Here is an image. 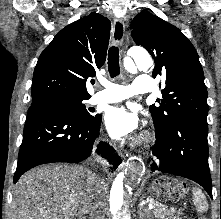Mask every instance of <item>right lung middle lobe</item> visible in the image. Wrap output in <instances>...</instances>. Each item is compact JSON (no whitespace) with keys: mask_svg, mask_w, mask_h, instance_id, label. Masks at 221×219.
<instances>
[{"mask_svg":"<svg viewBox=\"0 0 221 219\" xmlns=\"http://www.w3.org/2000/svg\"><path fill=\"white\" fill-rule=\"evenodd\" d=\"M87 99L51 98L32 102L31 106L61 109L68 111L81 120H91L96 115L90 114L86 109L84 101Z\"/></svg>","mask_w":221,"mask_h":219,"instance_id":"right-lung-middle-lobe-1","label":"right lung middle lobe"}]
</instances>
